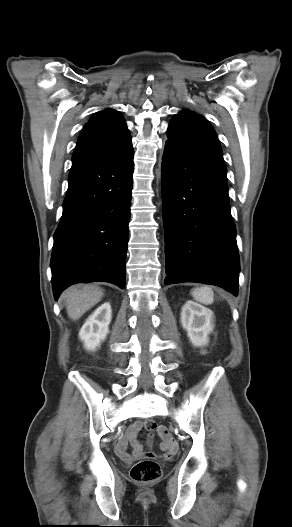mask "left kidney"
Listing matches in <instances>:
<instances>
[{"label": "left kidney", "instance_id": "obj_1", "mask_svg": "<svg viewBox=\"0 0 292 527\" xmlns=\"http://www.w3.org/2000/svg\"><path fill=\"white\" fill-rule=\"evenodd\" d=\"M213 313L193 301L186 302L181 311V324L187 331L190 342L196 347L208 344V335L213 331Z\"/></svg>", "mask_w": 292, "mask_h": 527}]
</instances>
